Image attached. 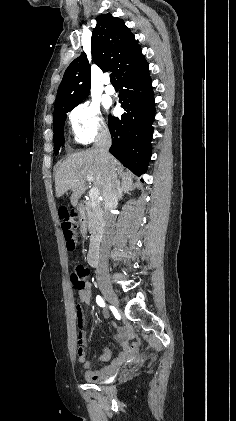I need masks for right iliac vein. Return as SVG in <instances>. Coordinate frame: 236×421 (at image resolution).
<instances>
[{"instance_id": "obj_1", "label": "right iliac vein", "mask_w": 236, "mask_h": 421, "mask_svg": "<svg viewBox=\"0 0 236 421\" xmlns=\"http://www.w3.org/2000/svg\"><path fill=\"white\" fill-rule=\"evenodd\" d=\"M100 288L103 296L114 306H118V298L115 291L109 286L107 280L100 281Z\"/></svg>"}]
</instances>
